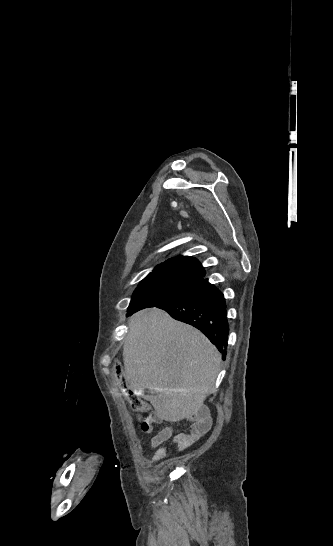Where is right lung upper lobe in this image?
<instances>
[{
    "label": "right lung upper lobe",
    "mask_w": 333,
    "mask_h": 546,
    "mask_svg": "<svg viewBox=\"0 0 333 546\" xmlns=\"http://www.w3.org/2000/svg\"><path fill=\"white\" fill-rule=\"evenodd\" d=\"M149 275H168L189 280L203 281L205 270L193 257L177 256L156 266Z\"/></svg>",
    "instance_id": "obj_1"
}]
</instances>
